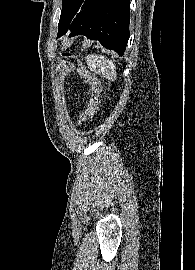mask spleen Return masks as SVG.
<instances>
[{
    "mask_svg": "<svg viewBox=\"0 0 195 270\" xmlns=\"http://www.w3.org/2000/svg\"><path fill=\"white\" fill-rule=\"evenodd\" d=\"M88 68L106 78L109 81L117 79L116 66L114 62L103 55L91 54L86 57Z\"/></svg>",
    "mask_w": 195,
    "mask_h": 270,
    "instance_id": "3e777b00",
    "label": "spleen"
}]
</instances>
